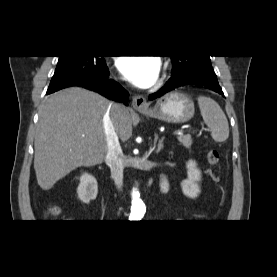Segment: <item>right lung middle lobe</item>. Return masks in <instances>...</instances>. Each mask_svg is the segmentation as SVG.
<instances>
[{"label":"right lung middle lobe","mask_w":277,"mask_h":277,"mask_svg":"<svg viewBox=\"0 0 277 277\" xmlns=\"http://www.w3.org/2000/svg\"><path fill=\"white\" fill-rule=\"evenodd\" d=\"M107 73L106 62L100 56H59L48 90L64 88L79 81L98 82Z\"/></svg>","instance_id":"1"}]
</instances>
